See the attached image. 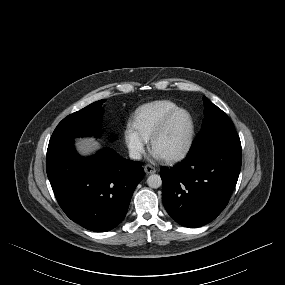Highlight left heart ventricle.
I'll return each mask as SVG.
<instances>
[{
	"mask_svg": "<svg viewBox=\"0 0 285 285\" xmlns=\"http://www.w3.org/2000/svg\"><path fill=\"white\" fill-rule=\"evenodd\" d=\"M189 132V120L183 113L176 115L164 134L157 140L155 152L160 157L178 154L185 146Z\"/></svg>",
	"mask_w": 285,
	"mask_h": 285,
	"instance_id": "1",
	"label": "left heart ventricle"
}]
</instances>
